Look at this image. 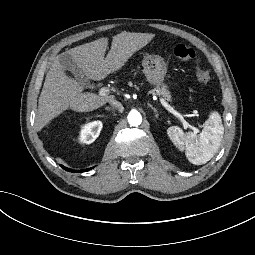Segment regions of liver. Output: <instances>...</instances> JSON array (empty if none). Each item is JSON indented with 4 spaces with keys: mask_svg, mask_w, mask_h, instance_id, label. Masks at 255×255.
<instances>
[{
    "mask_svg": "<svg viewBox=\"0 0 255 255\" xmlns=\"http://www.w3.org/2000/svg\"><path fill=\"white\" fill-rule=\"evenodd\" d=\"M155 34L121 32L113 36L111 49L106 58L108 38H100L67 51L87 78L100 81L119 70L138 50L146 46ZM83 87L68 77L58 59L48 71L38 102L35 127L40 131L50 120L69 107L77 112L93 111L114 98L94 93H82Z\"/></svg>",
    "mask_w": 255,
    "mask_h": 255,
    "instance_id": "6515ba94",
    "label": "liver"
}]
</instances>
